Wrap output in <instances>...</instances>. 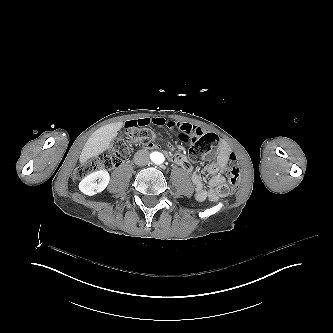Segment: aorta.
Instances as JSON below:
<instances>
[{
  "label": "aorta",
  "instance_id": "aorta-1",
  "mask_svg": "<svg viewBox=\"0 0 333 333\" xmlns=\"http://www.w3.org/2000/svg\"><path fill=\"white\" fill-rule=\"evenodd\" d=\"M151 160L153 163L160 165L165 161V157L160 152H153L151 153Z\"/></svg>",
  "mask_w": 333,
  "mask_h": 333
}]
</instances>
